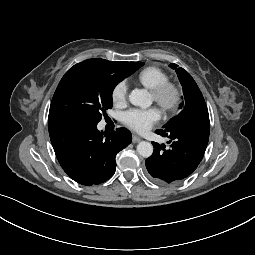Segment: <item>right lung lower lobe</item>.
I'll return each instance as SVG.
<instances>
[{
  "label": "right lung lower lobe",
  "mask_w": 255,
  "mask_h": 255,
  "mask_svg": "<svg viewBox=\"0 0 255 255\" xmlns=\"http://www.w3.org/2000/svg\"><path fill=\"white\" fill-rule=\"evenodd\" d=\"M49 135L56 157L74 181L97 185L107 181L116 170V154L131 143L125 128L103 134L97 123L77 120L48 121Z\"/></svg>",
  "instance_id": "right-lung-lower-lobe-1"
}]
</instances>
